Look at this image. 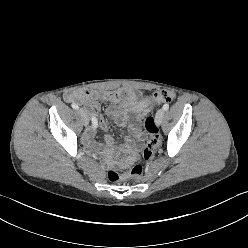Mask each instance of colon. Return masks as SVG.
Returning a JSON list of instances; mask_svg holds the SVG:
<instances>
[{
  "mask_svg": "<svg viewBox=\"0 0 248 248\" xmlns=\"http://www.w3.org/2000/svg\"><path fill=\"white\" fill-rule=\"evenodd\" d=\"M174 100H175L174 92L170 90H159L154 92V94L150 99V102L162 103V102H173ZM144 125L149 135V138L146 145L143 147L141 151V155L143 159L149 160L153 156L154 150L160 144V134H159L158 125L152 116H147L145 118ZM142 173H143L142 166L140 164H136L128 172L123 174L114 170H110L108 172V179L111 182L133 181L139 179Z\"/></svg>",
  "mask_w": 248,
  "mask_h": 248,
  "instance_id": "obj_1",
  "label": "colon"
}]
</instances>
